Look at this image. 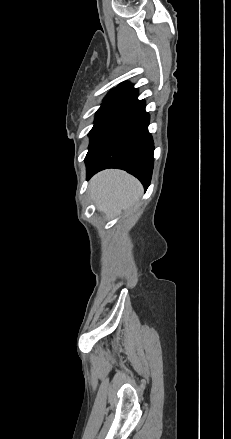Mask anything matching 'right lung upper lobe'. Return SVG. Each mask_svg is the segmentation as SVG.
Wrapping results in <instances>:
<instances>
[{
  "label": "right lung upper lobe",
  "mask_w": 231,
  "mask_h": 439,
  "mask_svg": "<svg viewBox=\"0 0 231 439\" xmlns=\"http://www.w3.org/2000/svg\"><path fill=\"white\" fill-rule=\"evenodd\" d=\"M138 95L137 89L128 82L120 83L115 89L111 90L105 99L115 98H135ZM104 99V100H105Z\"/></svg>",
  "instance_id": "right-lung-upper-lobe-1"
}]
</instances>
